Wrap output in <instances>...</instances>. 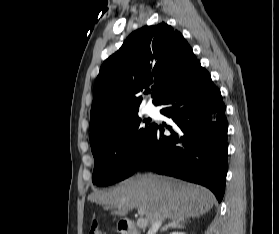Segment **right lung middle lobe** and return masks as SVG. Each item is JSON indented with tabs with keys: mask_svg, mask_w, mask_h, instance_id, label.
Returning a JSON list of instances; mask_svg holds the SVG:
<instances>
[{
	"mask_svg": "<svg viewBox=\"0 0 279 234\" xmlns=\"http://www.w3.org/2000/svg\"><path fill=\"white\" fill-rule=\"evenodd\" d=\"M154 126L147 120L142 121L137 113L112 133L91 144L95 159L93 183L107 186L131 176L148 149Z\"/></svg>",
	"mask_w": 279,
	"mask_h": 234,
	"instance_id": "obj_1",
	"label": "right lung middle lobe"
}]
</instances>
